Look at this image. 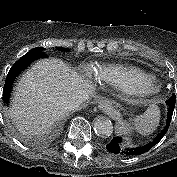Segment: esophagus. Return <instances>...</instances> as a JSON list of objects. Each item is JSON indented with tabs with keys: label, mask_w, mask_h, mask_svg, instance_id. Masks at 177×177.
<instances>
[{
	"label": "esophagus",
	"mask_w": 177,
	"mask_h": 177,
	"mask_svg": "<svg viewBox=\"0 0 177 177\" xmlns=\"http://www.w3.org/2000/svg\"><path fill=\"white\" fill-rule=\"evenodd\" d=\"M110 106H112V103L110 101H107V100H102L99 102L98 104V107L101 109V110H106L108 109Z\"/></svg>",
	"instance_id": "obj_1"
}]
</instances>
